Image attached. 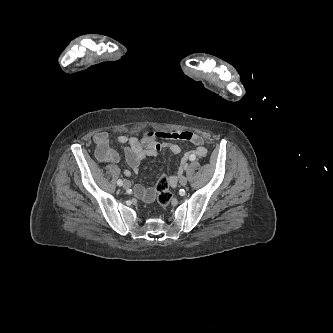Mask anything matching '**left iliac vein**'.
<instances>
[{
    "label": "left iliac vein",
    "instance_id": "obj_1",
    "mask_svg": "<svg viewBox=\"0 0 333 333\" xmlns=\"http://www.w3.org/2000/svg\"><path fill=\"white\" fill-rule=\"evenodd\" d=\"M179 184H180L181 186H185V185L187 184V178H186L185 176H181V177L179 178Z\"/></svg>",
    "mask_w": 333,
    "mask_h": 333
}]
</instances>
